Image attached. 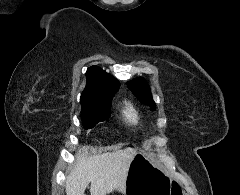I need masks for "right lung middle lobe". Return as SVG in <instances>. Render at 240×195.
Returning <instances> with one entry per match:
<instances>
[{
    "label": "right lung middle lobe",
    "instance_id": "obj_1",
    "mask_svg": "<svg viewBox=\"0 0 240 195\" xmlns=\"http://www.w3.org/2000/svg\"><path fill=\"white\" fill-rule=\"evenodd\" d=\"M81 120L85 129L94 127L110 117V101H84L81 102Z\"/></svg>",
    "mask_w": 240,
    "mask_h": 195
}]
</instances>
